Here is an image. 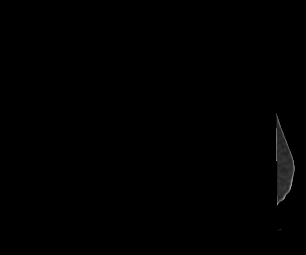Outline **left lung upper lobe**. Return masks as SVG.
<instances>
[{
  "label": "left lung upper lobe",
  "mask_w": 306,
  "mask_h": 255,
  "mask_svg": "<svg viewBox=\"0 0 306 255\" xmlns=\"http://www.w3.org/2000/svg\"><path fill=\"white\" fill-rule=\"evenodd\" d=\"M194 79L198 104L183 138L185 168L207 170L221 179L233 134L232 122L216 84L201 74Z\"/></svg>",
  "instance_id": "left-lung-upper-lobe-1"
}]
</instances>
